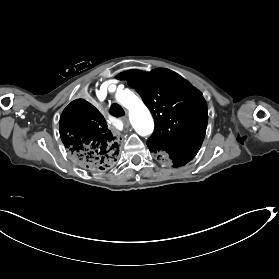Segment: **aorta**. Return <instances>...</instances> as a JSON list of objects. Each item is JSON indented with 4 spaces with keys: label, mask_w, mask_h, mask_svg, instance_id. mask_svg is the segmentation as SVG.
Masks as SVG:
<instances>
[{
    "label": "aorta",
    "mask_w": 279,
    "mask_h": 279,
    "mask_svg": "<svg viewBox=\"0 0 279 279\" xmlns=\"http://www.w3.org/2000/svg\"><path fill=\"white\" fill-rule=\"evenodd\" d=\"M116 99L129 110L130 122L139 135L147 136L153 132V118L141 99L130 90L118 91Z\"/></svg>",
    "instance_id": "obj_1"
}]
</instances>
